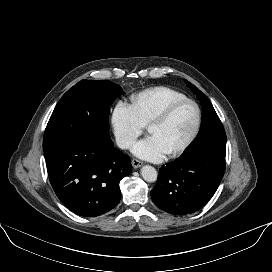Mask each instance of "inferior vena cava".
<instances>
[{"label":"inferior vena cava","mask_w":272,"mask_h":272,"mask_svg":"<svg viewBox=\"0 0 272 272\" xmlns=\"http://www.w3.org/2000/svg\"><path fill=\"white\" fill-rule=\"evenodd\" d=\"M116 144L121 149H128L132 145V143L130 141H128L126 139H122V138H117Z\"/></svg>","instance_id":"602c4592"}]
</instances>
